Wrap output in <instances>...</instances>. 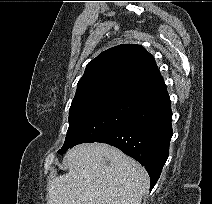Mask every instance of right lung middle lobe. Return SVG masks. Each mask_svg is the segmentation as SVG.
I'll use <instances>...</instances> for the list:
<instances>
[{"label":"right lung middle lobe","instance_id":"1","mask_svg":"<svg viewBox=\"0 0 212 204\" xmlns=\"http://www.w3.org/2000/svg\"><path fill=\"white\" fill-rule=\"evenodd\" d=\"M142 104L117 97L94 99L70 107L69 128L58 153L73 146L95 142L131 118Z\"/></svg>","mask_w":212,"mask_h":204}]
</instances>
